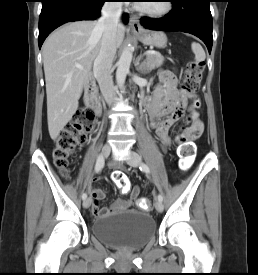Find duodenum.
<instances>
[{
  "label": "duodenum",
  "mask_w": 258,
  "mask_h": 275,
  "mask_svg": "<svg viewBox=\"0 0 258 275\" xmlns=\"http://www.w3.org/2000/svg\"><path fill=\"white\" fill-rule=\"evenodd\" d=\"M85 104L95 113L100 116L101 114V103L98 89L93 81H89L86 85L84 94Z\"/></svg>",
  "instance_id": "410a0bca"
}]
</instances>
